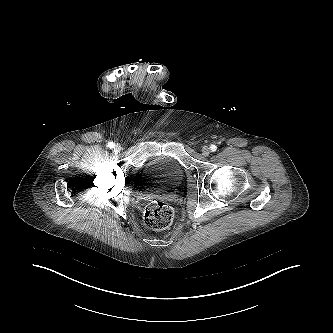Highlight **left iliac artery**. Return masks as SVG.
Listing matches in <instances>:
<instances>
[{"label":"left iliac artery","mask_w":333,"mask_h":333,"mask_svg":"<svg viewBox=\"0 0 333 333\" xmlns=\"http://www.w3.org/2000/svg\"><path fill=\"white\" fill-rule=\"evenodd\" d=\"M210 150H211L212 152H215V151L217 150V146H216V145H211V146H210Z\"/></svg>","instance_id":"44dca946"}]
</instances>
